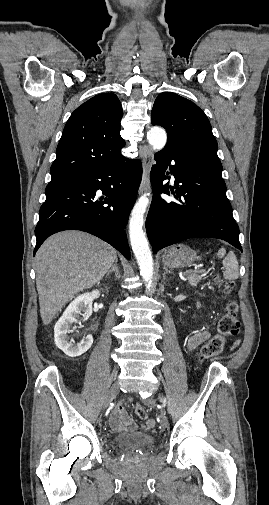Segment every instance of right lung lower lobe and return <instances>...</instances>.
I'll return each mask as SVG.
<instances>
[{
	"instance_id": "98d812e1",
	"label": "right lung lower lobe",
	"mask_w": 269,
	"mask_h": 505,
	"mask_svg": "<svg viewBox=\"0 0 269 505\" xmlns=\"http://www.w3.org/2000/svg\"><path fill=\"white\" fill-rule=\"evenodd\" d=\"M141 178V162L121 156L71 179L49 183L35 229L34 255L50 235L77 229L101 238L130 259L123 229ZM99 189L105 198L96 195Z\"/></svg>"
}]
</instances>
